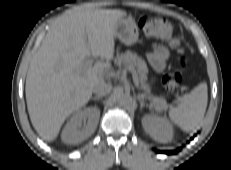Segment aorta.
<instances>
[{
  "instance_id": "aorta-1",
  "label": "aorta",
  "mask_w": 231,
  "mask_h": 170,
  "mask_svg": "<svg viewBox=\"0 0 231 170\" xmlns=\"http://www.w3.org/2000/svg\"><path fill=\"white\" fill-rule=\"evenodd\" d=\"M117 102L121 106H130L132 103V98L128 94H119L117 96Z\"/></svg>"
}]
</instances>
